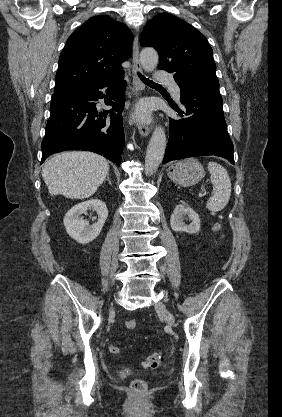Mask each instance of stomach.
<instances>
[{"label":"stomach","mask_w":282,"mask_h":417,"mask_svg":"<svg viewBox=\"0 0 282 417\" xmlns=\"http://www.w3.org/2000/svg\"><path fill=\"white\" fill-rule=\"evenodd\" d=\"M167 174L173 182L180 184V186H193L203 178L204 168L196 158H185V160H178V162L170 164Z\"/></svg>","instance_id":"stomach-1"}]
</instances>
